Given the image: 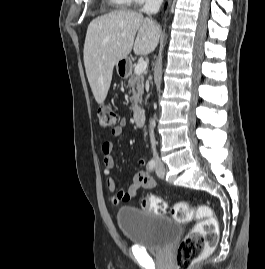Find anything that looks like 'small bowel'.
Instances as JSON below:
<instances>
[{"mask_svg":"<svg viewBox=\"0 0 265 269\" xmlns=\"http://www.w3.org/2000/svg\"><path fill=\"white\" fill-rule=\"evenodd\" d=\"M126 126V121L121 120L120 124L111 130L114 137L121 136L123 132V127ZM113 142L104 141L101 147L104 162V173L108 176L106 184L110 192L114 193L112 197V202L114 205H120L125 202H129L137 197L138 190L140 188L144 189H154L157 186L155 179L147 171H139L135 174L132 184L126 190H118L116 188V183L112 177L109 176L111 169L115 165V160L113 156ZM138 164L144 166L146 161L144 158L138 159Z\"/></svg>","mask_w":265,"mask_h":269,"instance_id":"obj_1","label":"small bowel"}]
</instances>
